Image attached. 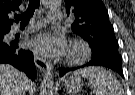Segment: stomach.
I'll return each mask as SVG.
<instances>
[{
	"mask_svg": "<svg viewBox=\"0 0 135 95\" xmlns=\"http://www.w3.org/2000/svg\"><path fill=\"white\" fill-rule=\"evenodd\" d=\"M65 89L71 94L76 95L83 88V81L78 75H71L64 80Z\"/></svg>",
	"mask_w": 135,
	"mask_h": 95,
	"instance_id": "stomach-1",
	"label": "stomach"
}]
</instances>
